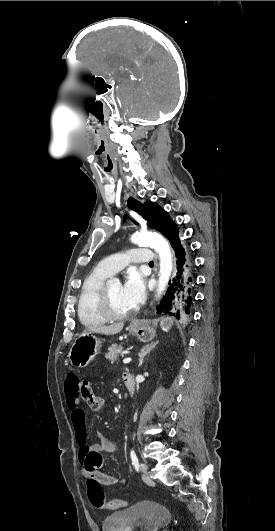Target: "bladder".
<instances>
[{"label": "bladder", "instance_id": "bladder-1", "mask_svg": "<svg viewBox=\"0 0 275 531\" xmlns=\"http://www.w3.org/2000/svg\"><path fill=\"white\" fill-rule=\"evenodd\" d=\"M172 521L165 504L138 501L129 508L107 514L102 522L103 531H160Z\"/></svg>", "mask_w": 275, "mask_h": 531}]
</instances>
